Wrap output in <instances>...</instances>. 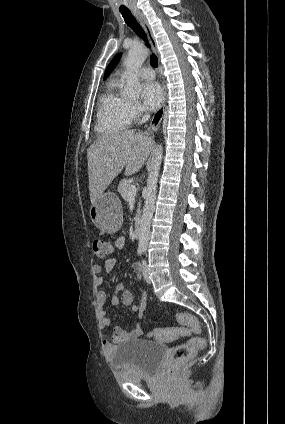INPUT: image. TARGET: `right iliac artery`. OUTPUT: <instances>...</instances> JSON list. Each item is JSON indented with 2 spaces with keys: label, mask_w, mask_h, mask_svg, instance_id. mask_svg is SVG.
<instances>
[{
  "label": "right iliac artery",
  "mask_w": 285,
  "mask_h": 424,
  "mask_svg": "<svg viewBox=\"0 0 285 424\" xmlns=\"http://www.w3.org/2000/svg\"><path fill=\"white\" fill-rule=\"evenodd\" d=\"M143 251H144V249L139 248V249H138V255H140V256H141V255H142V253H143Z\"/></svg>",
  "instance_id": "right-iliac-artery-1"
}]
</instances>
